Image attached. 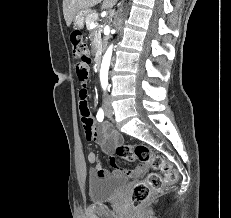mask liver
Wrapping results in <instances>:
<instances>
[{"label": "liver", "instance_id": "liver-1", "mask_svg": "<svg viewBox=\"0 0 231 218\" xmlns=\"http://www.w3.org/2000/svg\"><path fill=\"white\" fill-rule=\"evenodd\" d=\"M102 0H63V14L69 27L75 14L80 10H90ZM117 0H103L102 9H111Z\"/></svg>", "mask_w": 231, "mask_h": 218}]
</instances>
